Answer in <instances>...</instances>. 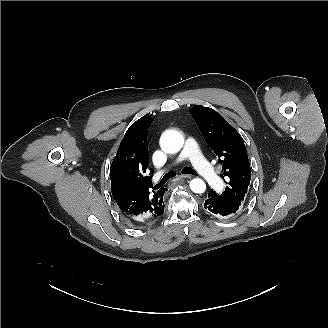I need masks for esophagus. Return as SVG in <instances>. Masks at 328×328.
<instances>
[{"label":"esophagus","instance_id":"1","mask_svg":"<svg viewBox=\"0 0 328 328\" xmlns=\"http://www.w3.org/2000/svg\"><path fill=\"white\" fill-rule=\"evenodd\" d=\"M191 175L188 174H183V175H179L178 178H191Z\"/></svg>","mask_w":328,"mask_h":328}]
</instances>
